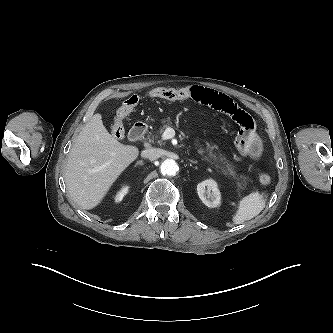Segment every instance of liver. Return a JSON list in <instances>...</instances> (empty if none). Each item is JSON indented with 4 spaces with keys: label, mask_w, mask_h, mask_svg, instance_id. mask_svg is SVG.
<instances>
[{
    "label": "liver",
    "mask_w": 333,
    "mask_h": 333,
    "mask_svg": "<svg viewBox=\"0 0 333 333\" xmlns=\"http://www.w3.org/2000/svg\"><path fill=\"white\" fill-rule=\"evenodd\" d=\"M139 149L114 139L92 116L79 133L68 156L65 183L74 202L83 209L99 205L120 174L137 159Z\"/></svg>",
    "instance_id": "liver-1"
}]
</instances>
